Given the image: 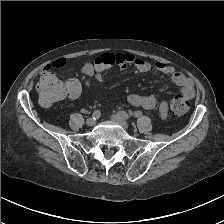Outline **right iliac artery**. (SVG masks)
<instances>
[{"label": "right iliac artery", "mask_w": 224, "mask_h": 224, "mask_svg": "<svg viewBox=\"0 0 224 224\" xmlns=\"http://www.w3.org/2000/svg\"><path fill=\"white\" fill-rule=\"evenodd\" d=\"M100 116H101V112L99 110H95L92 114V118L95 120L100 118Z\"/></svg>", "instance_id": "82829eb1"}]
</instances>
